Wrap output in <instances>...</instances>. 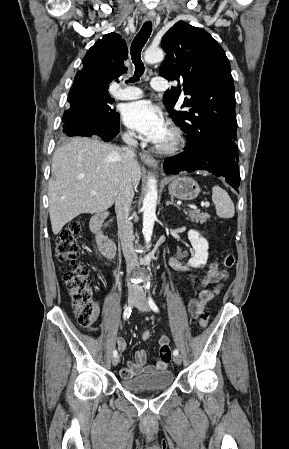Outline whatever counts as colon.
<instances>
[{"label":"colon","instance_id":"1","mask_svg":"<svg viewBox=\"0 0 289 449\" xmlns=\"http://www.w3.org/2000/svg\"><path fill=\"white\" fill-rule=\"evenodd\" d=\"M82 226V221L75 220L60 232L56 243V254L58 258L68 266L65 273V283L72 300L77 320L83 328L91 330L96 322L98 309L92 300L89 271L78 261V241ZM234 264V255L228 253L223 260L224 268L230 269ZM207 325L208 316L205 313L199 319V327L205 329ZM150 336L151 333L148 330L142 333L143 340H148Z\"/></svg>","mask_w":289,"mask_h":449}]
</instances>
